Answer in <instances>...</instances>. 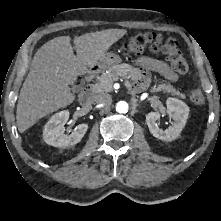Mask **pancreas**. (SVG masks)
Instances as JSON below:
<instances>
[{
  "instance_id": "1",
  "label": "pancreas",
  "mask_w": 221,
  "mask_h": 221,
  "mask_svg": "<svg viewBox=\"0 0 221 221\" xmlns=\"http://www.w3.org/2000/svg\"><path fill=\"white\" fill-rule=\"evenodd\" d=\"M138 69L129 64H119L108 69V71L98 77V83L93 87L94 92L103 93L111 92L113 90V83L117 81L120 77L124 79L136 80L138 78ZM163 92L168 93L172 96H178L185 98V95L180 93L171 84L161 85Z\"/></svg>"
}]
</instances>
